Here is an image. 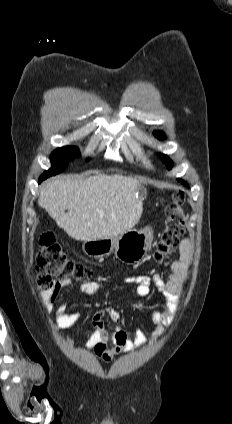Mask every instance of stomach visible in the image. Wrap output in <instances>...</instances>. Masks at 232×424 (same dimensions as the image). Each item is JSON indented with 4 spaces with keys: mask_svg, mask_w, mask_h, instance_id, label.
I'll list each match as a JSON object with an SVG mask.
<instances>
[{
    "mask_svg": "<svg viewBox=\"0 0 232 424\" xmlns=\"http://www.w3.org/2000/svg\"><path fill=\"white\" fill-rule=\"evenodd\" d=\"M152 241L153 231L147 227L142 230L130 229L117 237L85 241L82 249L90 257H106L114 252L119 260L136 263L146 255Z\"/></svg>",
    "mask_w": 232,
    "mask_h": 424,
    "instance_id": "stomach-1",
    "label": "stomach"
}]
</instances>
